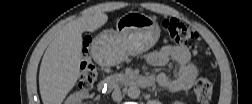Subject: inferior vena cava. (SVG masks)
I'll return each mask as SVG.
<instances>
[{
	"label": "inferior vena cava",
	"instance_id": "obj_1",
	"mask_svg": "<svg viewBox=\"0 0 252 104\" xmlns=\"http://www.w3.org/2000/svg\"><path fill=\"white\" fill-rule=\"evenodd\" d=\"M112 99L115 102H120L122 100V93L119 88L114 89V91L112 92Z\"/></svg>",
	"mask_w": 252,
	"mask_h": 104
}]
</instances>
